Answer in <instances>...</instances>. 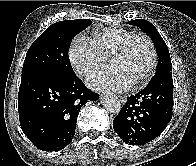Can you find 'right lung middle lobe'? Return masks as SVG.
Listing matches in <instances>:
<instances>
[{"label": "right lung middle lobe", "instance_id": "obj_1", "mask_svg": "<svg viewBox=\"0 0 196 166\" xmlns=\"http://www.w3.org/2000/svg\"><path fill=\"white\" fill-rule=\"evenodd\" d=\"M91 24L89 19L64 20L49 26L29 48L22 76L50 72L65 77L75 75L68 57L71 40Z\"/></svg>", "mask_w": 196, "mask_h": 166}]
</instances>
